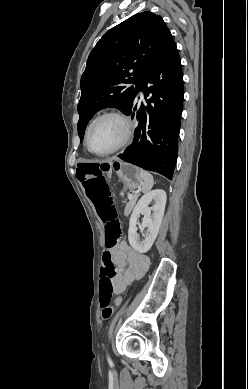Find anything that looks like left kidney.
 <instances>
[{
  "instance_id": "5707ae66",
  "label": "left kidney",
  "mask_w": 248,
  "mask_h": 389,
  "mask_svg": "<svg viewBox=\"0 0 248 389\" xmlns=\"http://www.w3.org/2000/svg\"><path fill=\"white\" fill-rule=\"evenodd\" d=\"M166 200V192L162 189H156L143 195L136 204L130 217L128 230V240L134 250L146 253L152 247L163 219ZM152 201L155 202L154 206L149 208L148 205ZM140 214L144 215L142 228H147L143 241L139 240L136 226Z\"/></svg>"
}]
</instances>
